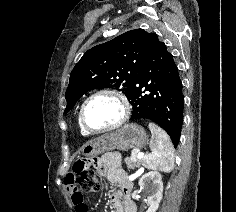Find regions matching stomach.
Returning a JSON list of instances; mask_svg holds the SVG:
<instances>
[{
	"label": "stomach",
	"mask_w": 236,
	"mask_h": 212,
	"mask_svg": "<svg viewBox=\"0 0 236 212\" xmlns=\"http://www.w3.org/2000/svg\"><path fill=\"white\" fill-rule=\"evenodd\" d=\"M148 143L145 130L137 124H126L115 132L102 135L82 147V154L93 157L106 151L144 148Z\"/></svg>",
	"instance_id": "obj_1"
}]
</instances>
